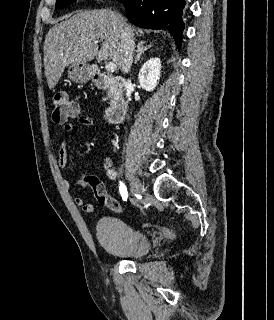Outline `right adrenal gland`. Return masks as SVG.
Segmentation results:
<instances>
[{
    "instance_id": "2a0ac1e0",
    "label": "right adrenal gland",
    "mask_w": 274,
    "mask_h": 320,
    "mask_svg": "<svg viewBox=\"0 0 274 320\" xmlns=\"http://www.w3.org/2000/svg\"><path fill=\"white\" fill-rule=\"evenodd\" d=\"M143 44H144V42H140V44H138V46H137L134 64H137V62H139V60H141L142 54H144V52H147V50H149V48H152V46H143Z\"/></svg>"
}]
</instances>
